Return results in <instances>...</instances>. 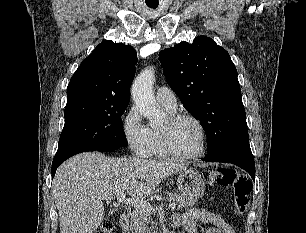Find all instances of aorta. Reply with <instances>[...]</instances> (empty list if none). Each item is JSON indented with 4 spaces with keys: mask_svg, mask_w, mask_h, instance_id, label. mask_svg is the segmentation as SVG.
I'll use <instances>...</instances> for the list:
<instances>
[{
    "mask_svg": "<svg viewBox=\"0 0 306 233\" xmlns=\"http://www.w3.org/2000/svg\"><path fill=\"white\" fill-rule=\"evenodd\" d=\"M154 81V69L149 67L135 78L131 88L133 100L140 114L149 119L151 126L161 124L164 119V114L156 108V100L152 90Z\"/></svg>",
    "mask_w": 306,
    "mask_h": 233,
    "instance_id": "obj_1",
    "label": "aorta"
}]
</instances>
